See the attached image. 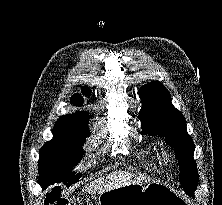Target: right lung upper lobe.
<instances>
[{
  "mask_svg": "<svg viewBox=\"0 0 222 205\" xmlns=\"http://www.w3.org/2000/svg\"><path fill=\"white\" fill-rule=\"evenodd\" d=\"M82 92L85 95L90 94V89L88 87H83ZM71 103L76 106L83 105V98L80 94H75L71 98ZM89 113L86 111L77 112L76 114L62 115L56 124H81L88 123Z\"/></svg>",
  "mask_w": 222,
  "mask_h": 205,
  "instance_id": "obj_1",
  "label": "right lung upper lobe"
}]
</instances>
